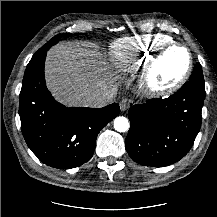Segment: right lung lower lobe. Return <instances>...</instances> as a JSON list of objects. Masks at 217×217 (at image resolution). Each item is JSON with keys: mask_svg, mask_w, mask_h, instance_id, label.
<instances>
[{"mask_svg": "<svg viewBox=\"0 0 217 217\" xmlns=\"http://www.w3.org/2000/svg\"><path fill=\"white\" fill-rule=\"evenodd\" d=\"M46 54L34 55L26 67L19 96L21 129L40 161L70 169L90 160L98 133L119 114V105L68 108L55 101L45 84Z\"/></svg>", "mask_w": 217, "mask_h": 217, "instance_id": "right-lung-lower-lobe-1", "label": "right lung lower lobe"}]
</instances>
